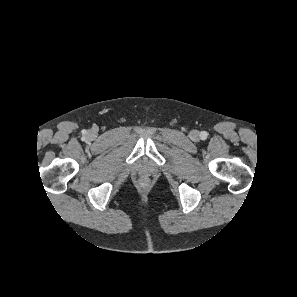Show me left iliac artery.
Masks as SVG:
<instances>
[{"mask_svg": "<svg viewBox=\"0 0 297 297\" xmlns=\"http://www.w3.org/2000/svg\"><path fill=\"white\" fill-rule=\"evenodd\" d=\"M208 136V133L206 131H202L200 134L201 139L205 140Z\"/></svg>", "mask_w": 297, "mask_h": 297, "instance_id": "1", "label": "left iliac artery"}]
</instances>
